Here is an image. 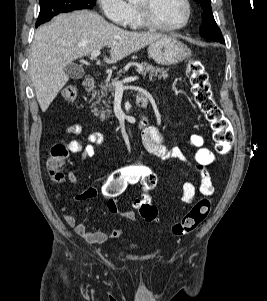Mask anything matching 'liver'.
Masks as SVG:
<instances>
[{"label": "liver", "mask_w": 267, "mask_h": 301, "mask_svg": "<svg viewBox=\"0 0 267 301\" xmlns=\"http://www.w3.org/2000/svg\"><path fill=\"white\" fill-rule=\"evenodd\" d=\"M162 37L159 33L126 31L93 11L56 16L36 30L29 56V74L41 110L48 109L68 82L65 67L74 60L109 46L110 57L104 60L113 64Z\"/></svg>", "instance_id": "liver-1"}]
</instances>
